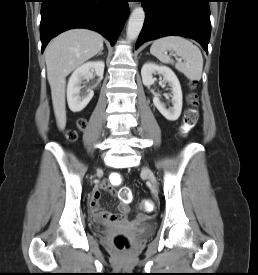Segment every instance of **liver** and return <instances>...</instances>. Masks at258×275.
Returning a JSON list of instances; mask_svg holds the SVG:
<instances>
[{"label": "liver", "instance_id": "obj_1", "mask_svg": "<svg viewBox=\"0 0 258 275\" xmlns=\"http://www.w3.org/2000/svg\"><path fill=\"white\" fill-rule=\"evenodd\" d=\"M103 37L87 29H73L54 38L45 50L47 78L58 128L66 126V76L103 49Z\"/></svg>", "mask_w": 258, "mask_h": 275}]
</instances>
